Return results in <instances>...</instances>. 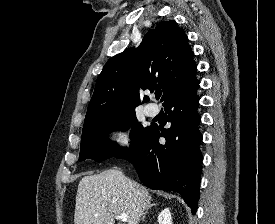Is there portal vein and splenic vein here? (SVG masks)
Returning a JSON list of instances; mask_svg holds the SVG:
<instances>
[{
    "instance_id": "portal-vein-and-splenic-vein-1",
    "label": "portal vein and splenic vein",
    "mask_w": 275,
    "mask_h": 224,
    "mask_svg": "<svg viewBox=\"0 0 275 224\" xmlns=\"http://www.w3.org/2000/svg\"><path fill=\"white\" fill-rule=\"evenodd\" d=\"M117 217L124 223H126L128 221V216L126 214H121Z\"/></svg>"
}]
</instances>
